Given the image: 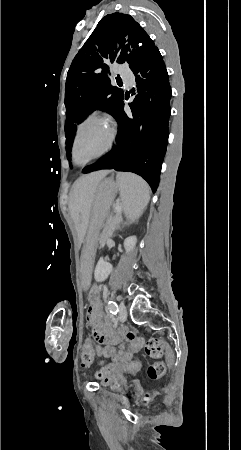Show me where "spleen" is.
<instances>
[{"mask_svg": "<svg viewBox=\"0 0 241 450\" xmlns=\"http://www.w3.org/2000/svg\"><path fill=\"white\" fill-rule=\"evenodd\" d=\"M116 182L120 190V198L124 202V214L129 220H137L142 216L150 200V188L136 174L119 172Z\"/></svg>", "mask_w": 241, "mask_h": 450, "instance_id": "3e777b00", "label": "spleen"}]
</instances>
